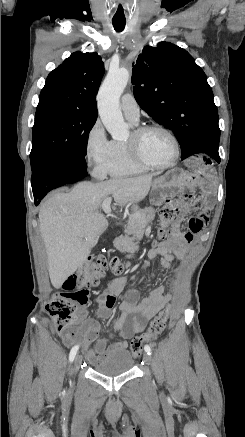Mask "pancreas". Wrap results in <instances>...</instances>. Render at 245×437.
I'll list each match as a JSON object with an SVG mask.
<instances>
[{"label": "pancreas", "instance_id": "obj_1", "mask_svg": "<svg viewBox=\"0 0 245 437\" xmlns=\"http://www.w3.org/2000/svg\"><path fill=\"white\" fill-rule=\"evenodd\" d=\"M154 216L155 212L152 208L135 209L124 227L125 235L116 238L114 246L122 251H130L136 248L138 240L143 237L144 229L154 219ZM131 235L132 237H130Z\"/></svg>", "mask_w": 245, "mask_h": 437}]
</instances>
